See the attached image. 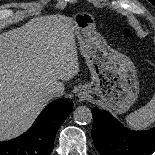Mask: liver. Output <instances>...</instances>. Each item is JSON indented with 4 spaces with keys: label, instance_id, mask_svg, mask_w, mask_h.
<instances>
[{
    "label": "liver",
    "instance_id": "1",
    "mask_svg": "<svg viewBox=\"0 0 155 155\" xmlns=\"http://www.w3.org/2000/svg\"><path fill=\"white\" fill-rule=\"evenodd\" d=\"M72 18L41 16L0 34V141L33 123L49 99L45 88L79 72Z\"/></svg>",
    "mask_w": 155,
    "mask_h": 155
}]
</instances>
